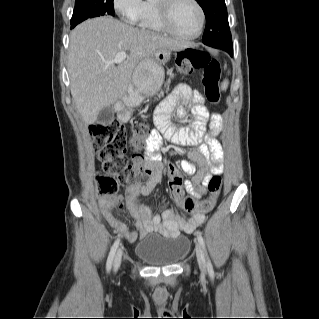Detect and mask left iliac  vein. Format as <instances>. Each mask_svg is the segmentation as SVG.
Segmentation results:
<instances>
[{"instance_id":"1","label":"left iliac vein","mask_w":319,"mask_h":319,"mask_svg":"<svg viewBox=\"0 0 319 319\" xmlns=\"http://www.w3.org/2000/svg\"><path fill=\"white\" fill-rule=\"evenodd\" d=\"M196 257L199 264L200 269L205 272L206 271V258L203 253L201 246L197 243L196 244Z\"/></svg>"}]
</instances>
